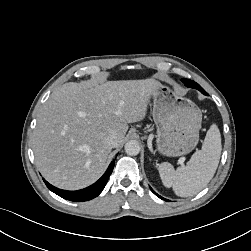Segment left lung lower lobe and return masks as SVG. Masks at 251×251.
I'll return each mask as SVG.
<instances>
[{
  "label": "left lung lower lobe",
  "instance_id": "left-lung-lower-lobe-1",
  "mask_svg": "<svg viewBox=\"0 0 251 251\" xmlns=\"http://www.w3.org/2000/svg\"><path fill=\"white\" fill-rule=\"evenodd\" d=\"M150 189H151V191H152L155 195H157L159 198H161V199H163V200H165V201H169V200L164 199L163 197L159 196L158 194H156V193L153 191V189H152V188H150Z\"/></svg>",
  "mask_w": 251,
  "mask_h": 251
}]
</instances>
